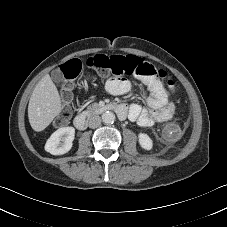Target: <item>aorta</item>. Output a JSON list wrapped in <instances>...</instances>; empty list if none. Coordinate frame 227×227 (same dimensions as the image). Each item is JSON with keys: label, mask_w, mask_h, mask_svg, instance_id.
<instances>
[{"label": "aorta", "mask_w": 227, "mask_h": 227, "mask_svg": "<svg viewBox=\"0 0 227 227\" xmlns=\"http://www.w3.org/2000/svg\"><path fill=\"white\" fill-rule=\"evenodd\" d=\"M102 120L106 124H112L115 121V115L111 111H106L102 114Z\"/></svg>", "instance_id": "obj_1"}]
</instances>
